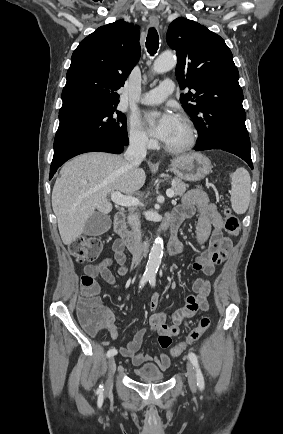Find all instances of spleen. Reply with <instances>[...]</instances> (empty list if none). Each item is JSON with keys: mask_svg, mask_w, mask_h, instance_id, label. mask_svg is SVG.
<instances>
[{"mask_svg": "<svg viewBox=\"0 0 283 434\" xmlns=\"http://www.w3.org/2000/svg\"><path fill=\"white\" fill-rule=\"evenodd\" d=\"M230 178L232 209L237 214H243L247 211L250 201V175L245 168H238L230 174Z\"/></svg>", "mask_w": 283, "mask_h": 434, "instance_id": "3e777b00", "label": "spleen"}]
</instances>
